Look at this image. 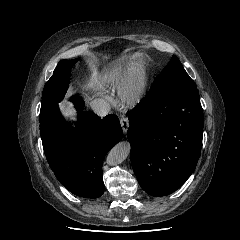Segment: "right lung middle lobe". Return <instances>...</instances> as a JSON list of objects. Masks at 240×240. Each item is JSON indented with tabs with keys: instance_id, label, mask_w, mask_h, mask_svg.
Returning <instances> with one entry per match:
<instances>
[{
	"instance_id": "right-lung-middle-lobe-1",
	"label": "right lung middle lobe",
	"mask_w": 240,
	"mask_h": 240,
	"mask_svg": "<svg viewBox=\"0 0 240 240\" xmlns=\"http://www.w3.org/2000/svg\"><path fill=\"white\" fill-rule=\"evenodd\" d=\"M78 59L62 60L56 66L53 75L46 82L42 93L39 121H43L58 107L68 90L70 70Z\"/></svg>"
}]
</instances>
